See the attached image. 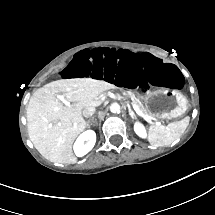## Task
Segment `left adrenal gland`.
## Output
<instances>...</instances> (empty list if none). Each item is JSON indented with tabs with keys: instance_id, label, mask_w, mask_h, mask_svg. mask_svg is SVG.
<instances>
[{
	"instance_id": "obj_1",
	"label": "left adrenal gland",
	"mask_w": 215,
	"mask_h": 215,
	"mask_svg": "<svg viewBox=\"0 0 215 215\" xmlns=\"http://www.w3.org/2000/svg\"><path fill=\"white\" fill-rule=\"evenodd\" d=\"M128 112H129V115L132 119H135L137 116H136V113L133 112L131 109H128Z\"/></svg>"
}]
</instances>
